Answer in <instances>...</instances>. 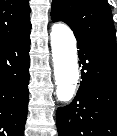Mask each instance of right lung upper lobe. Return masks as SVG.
Returning <instances> with one entry per match:
<instances>
[{
  "instance_id": "obj_1",
  "label": "right lung upper lobe",
  "mask_w": 117,
  "mask_h": 136,
  "mask_svg": "<svg viewBox=\"0 0 117 136\" xmlns=\"http://www.w3.org/2000/svg\"><path fill=\"white\" fill-rule=\"evenodd\" d=\"M29 0H0V43L31 29Z\"/></svg>"
}]
</instances>
